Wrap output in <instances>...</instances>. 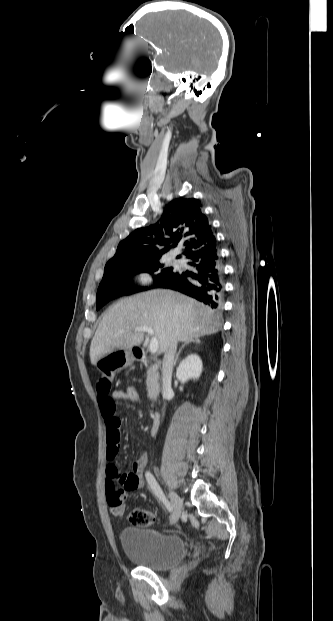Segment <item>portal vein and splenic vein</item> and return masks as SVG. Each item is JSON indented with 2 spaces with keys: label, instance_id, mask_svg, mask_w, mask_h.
<instances>
[{
  "label": "portal vein and splenic vein",
  "instance_id": "obj_1",
  "mask_svg": "<svg viewBox=\"0 0 333 621\" xmlns=\"http://www.w3.org/2000/svg\"><path fill=\"white\" fill-rule=\"evenodd\" d=\"M135 331H142V332H147L148 334H150L151 340L149 343V350L151 353H156L159 347L158 344V339L156 336H154V329L152 327H148V326H137L134 328Z\"/></svg>",
  "mask_w": 333,
  "mask_h": 621
}]
</instances>
